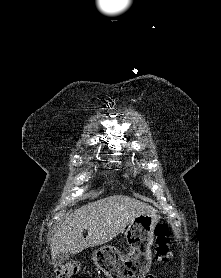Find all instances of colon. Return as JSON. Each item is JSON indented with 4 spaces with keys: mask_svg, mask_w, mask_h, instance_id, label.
<instances>
[{
    "mask_svg": "<svg viewBox=\"0 0 221 278\" xmlns=\"http://www.w3.org/2000/svg\"><path fill=\"white\" fill-rule=\"evenodd\" d=\"M154 248L157 258L166 262L170 256V230L160 222L154 232ZM79 271V265L74 261L62 263L56 268V278H72Z\"/></svg>",
    "mask_w": 221,
    "mask_h": 278,
    "instance_id": "obj_1",
    "label": "colon"
}]
</instances>
